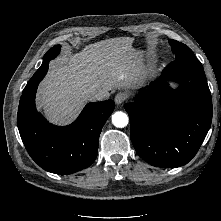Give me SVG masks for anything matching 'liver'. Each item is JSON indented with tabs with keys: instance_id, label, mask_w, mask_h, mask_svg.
<instances>
[{
	"instance_id": "6515ba94",
	"label": "liver",
	"mask_w": 221,
	"mask_h": 221,
	"mask_svg": "<svg viewBox=\"0 0 221 221\" xmlns=\"http://www.w3.org/2000/svg\"><path fill=\"white\" fill-rule=\"evenodd\" d=\"M133 38L108 39L65 53L50 65L38 90V104L55 123L71 121L89 94L98 89L134 88L141 58L132 48Z\"/></svg>"
}]
</instances>
